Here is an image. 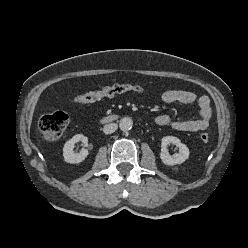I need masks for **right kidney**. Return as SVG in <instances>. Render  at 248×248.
Here are the masks:
<instances>
[{
	"label": "right kidney",
	"mask_w": 248,
	"mask_h": 248,
	"mask_svg": "<svg viewBox=\"0 0 248 248\" xmlns=\"http://www.w3.org/2000/svg\"><path fill=\"white\" fill-rule=\"evenodd\" d=\"M81 141L84 146L88 145V138L83 134L74 135L71 139H69L63 147V157L64 161L71 164H78L85 160L88 155V150L83 148L80 153H75L73 151L75 143Z\"/></svg>",
	"instance_id": "ca27d5eb"
}]
</instances>
